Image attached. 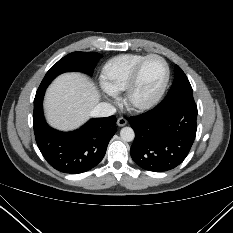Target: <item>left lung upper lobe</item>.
Segmentation results:
<instances>
[{
    "label": "left lung upper lobe",
    "instance_id": "left-lung-upper-lobe-1",
    "mask_svg": "<svg viewBox=\"0 0 233 233\" xmlns=\"http://www.w3.org/2000/svg\"><path fill=\"white\" fill-rule=\"evenodd\" d=\"M176 100L194 101L192 87L184 72L179 66H175V79L167 96L160 104H166Z\"/></svg>",
    "mask_w": 233,
    "mask_h": 233
}]
</instances>
